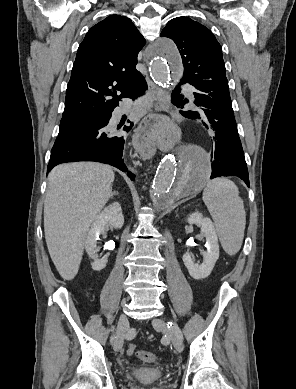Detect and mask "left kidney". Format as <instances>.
Masks as SVG:
<instances>
[{
  "mask_svg": "<svg viewBox=\"0 0 296 389\" xmlns=\"http://www.w3.org/2000/svg\"><path fill=\"white\" fill-rule=\"evenodd\" d=\"M187 222L201 227V234L206 239L207 251L203 253L201 264L195 263L189 253L183 255V262L192 278L196 280L204 279L211 274L219 258L217 234L212 221L209 218H204L200 212L190 214Z\"/></svg>",
  "mask_w": 296,
  "mask_h": 389,
  "instance_id": "1",
  "label": "left kidney"
}]
</instances>
